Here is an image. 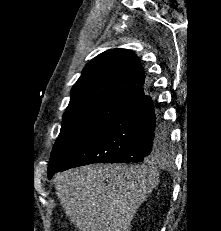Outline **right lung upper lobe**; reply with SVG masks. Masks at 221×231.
<instances>
[{"label": "right lung upper lobe", "instance_id": "right-lung-upper-lobe-1", "mask_svg": "<svg viewBox=\"0 0 221 231\" xmlns=\"http://www.w3.org/2000/svg\"><path fill=\"white\" fill-rule=\"evenodd\" d=\"M144 69L133 52L110 49L93 58L71 90L68 106L100 96L133 101L149 91Z\"/></svg>", "mask_w": 221, "mask_h": 231}]
</instances>
